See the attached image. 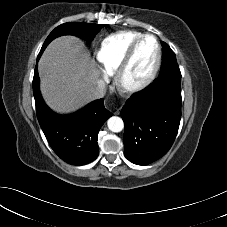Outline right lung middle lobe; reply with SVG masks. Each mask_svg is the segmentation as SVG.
I'll list each match as a JSON object with an SVG mask.
<instances>
[{"instance_id": "obj_1", "label": "right lung middle lobe", "mask_w": 227, "mask_h": 227, "mask_svg": "<svg viewBox=\"0 0 227 227\" xmlns=\"http://www.w3.org/2000/svg\"><path fill=\"white\" fill-rule=\"evenodd\" d=\"M102 24H90L82 22L64 23L56 27L45 40L40 55L43 53L47 45L56 37L63 35H74L82 39L92 41L95 35L102 29Z\"/></svg>"}]
</instances>
